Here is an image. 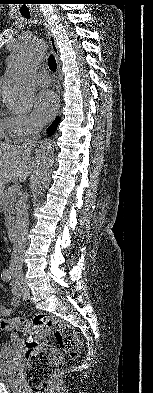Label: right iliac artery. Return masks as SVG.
I'll list each match as a JSON object with an SVG mask.
<instances>
[{"mask_svg": "<svg viewBox=\"0 0 153 393\" xmlns=\"http://www.w3.org/2000/svg\"><path fill=\"white\" fill-rule=\"evenodd\" d=\"M12 277V273L8 270H5L1 274V278L3 281H10Z\"/></svg>", "mask_w": 153, "mask_h": 393, "instance_id": "82829eb1", "label": "right iliac artery"}]
</instances>
